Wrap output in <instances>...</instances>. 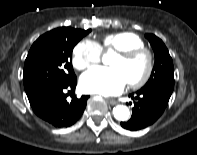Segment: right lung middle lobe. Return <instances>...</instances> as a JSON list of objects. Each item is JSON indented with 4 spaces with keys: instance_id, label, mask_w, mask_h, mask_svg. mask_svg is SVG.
Returning a JSON list of instances; mask_svg holds the SVG:
<instances>
[{
    "instance_id": "1",
    "label": "right lung middle lobe",
    "mask_w": 197,
    "mask_h": 155,
    "mask_svg": "<svg viewBox=\"0 0 197 155\" xmlns=\"http://www.w3.org/2000/svg\"><path fill=\"white\" fill-rule=\"evenodd\" d=\"M90 31L60 27L45 33L33 43L25 60L23 75L29 101L75 77L72 51Z\"/></svg>"
}]
</instances>
